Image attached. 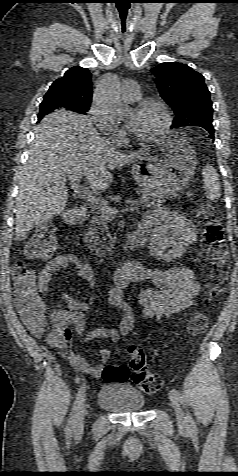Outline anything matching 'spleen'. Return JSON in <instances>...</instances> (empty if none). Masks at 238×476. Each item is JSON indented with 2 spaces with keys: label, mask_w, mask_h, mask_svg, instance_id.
<instances>
[{
  "label": "spleen",
  "mask_w": 238,
  "mask_h": 476,
  "mask_svg": "<svg viewBox=\"0 0 238 476\" xmlns=\"http://www.w3.org/2000/svg\"><path fill=\"white\" fill-rule=\"evenodd\" d=\"M204 188L207 197L211 201H218L221 193V185L218 173L213 166L207 164L202 171Z\"/></svg>",
  "instance_id": "1"
}]
</instances>
